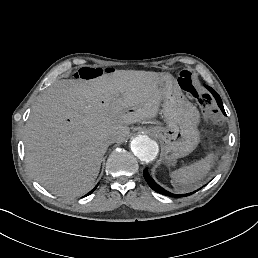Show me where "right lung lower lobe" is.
I'll return each mask as SVG.
<instances>
[{
  "instance_id": "right-lung-lower-lobe-1",
  "label": "right lung lower lobe",
  "mask_w": 258,
  "mask_h": 258,
  "mask_svg": "<svg viewBox=\"0 0 258 258\" xmlns=\"http://www.w3.org/2000/svg\"><path fill=\"white\" fill-rule=\"evenodd\" d=\"M97 187V186H96ZM96 187L91 191V192H89L87 195H90L95 189H96ZM86 195V196H87Z\"/></svg>"
}]
</instances>
